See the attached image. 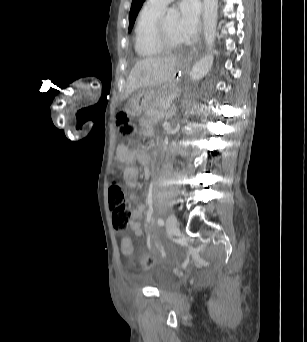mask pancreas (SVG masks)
I'll list each match as a JSON object with an SVG mask.
<instances>
[{
	"label": "pancreas",
	"mask_w": 307,
	"mask_h": 342,
	"mask_svg": "<svg viewBox=\"0 0 307 342\" xmlns=\"http://www.w3.org/2000/svg\"><path fill=\"white\" fill-rule=\"evenodd\" d=\"M154 101L156 104H169L173 100L172 94H155ZM163 106H155V108H151L146 112V116H153V118H157V120H162L165 116H168L167 112H163Z\"/></svg>",
	"instance_id": "cf45deb5"
}]
</instances>
